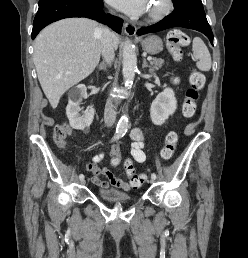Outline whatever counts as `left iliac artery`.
<instances>
[{
  "label": "left iliac artery",
  "instance_id": "44dca946",
  "mask_svg": "<svg viewBox=\"0 0 248 258\" xmlns=\"http://www.w3.org/2000/svg\"><path fill=\"white\" fill-rule=\"evenodd\" d=\"M151 178L156 179V174H155V173H152V174H151Z\"/></svg>",
  "mask_w": 248,
  "mask_h": 258
}]
</instances>
